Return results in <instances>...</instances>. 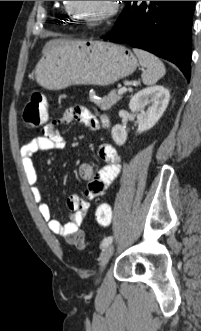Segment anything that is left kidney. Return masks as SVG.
I'll return each mask as SVG.
<instances>
[{"mask_svg":"<svg viewBox=\"0 0 201 331\" xmlns=\"http://www.w3.org/2000/svg\"><path fill=\"white\" fill-rule=\"evenodd\" d=\"M169 99V90L160 85L145 88L132 97L129 108L137 115V133L151 129L158 122L168 106ZM112 138L117 145H123L127 139L125 127L115 125L112 128Z\"/></svg>","mask_w":201,"mask_h":331,"instance_id":"1","label":"left kidney"}]
</instances>
